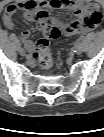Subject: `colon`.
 I'll use <instances>...</instances> for the list:
<instances>
[{
  "label": "colon",
  "instance_id": "obj_1",
  "mask_svg": "<svg viewBox=\"0 0 104 137\" xmlns=\"http://www.w3.org/2000/svg\"><path fill=\"white\" fill-rule=\"evenodd\" d=\"M35 20L38 22L43 36L38 40L34 58L43 68H50L53 63L52 52L49 46V40L56 39L60 36V29L51 23L46 11L41 10L35 14Z\"/></svg>",
  "mask_w": 104,
  "mask_h": 137
}]
</instances>
